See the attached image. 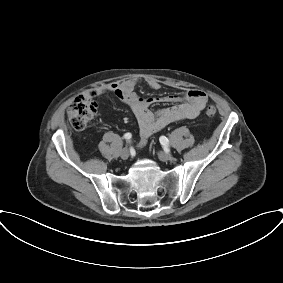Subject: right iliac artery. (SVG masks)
I'll list each match as a JSON object with an SVG mask.
<instances>
[{"mask_svg":"<svg viewBox=\"0 0 283 283\" xmlns=\"http://www.w3.org/2000/svg\"><path fill=\"white\" fill-rule=\"evenodd\" d=\"M124 137H125V139H130V138L132 137V135H131L130 133H126V134L124 135Z\"/></svg>","mask_w":283,"mask_h":283,"instance_id":"1","label":"right iliac artery"}]
</instances>
